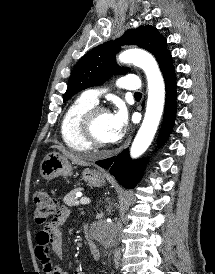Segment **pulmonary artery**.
<instances>
[{
	"label": "pulmonary artery",
	"instance_id": "obj_1",
	"mask_svg": "<svg viewBox=\"0 0 215 274\" xmlns=\"http://www.w3.org/2000/svg\"><path fill=\"white\" fill-rule=\"evenodd\" d=\"M117 85L120 88L126 89V90H132V91H138L140 88L139 80L136 76L127 75L120 77L117 81ZM101 94V91L98 89H89L84 92V95L93 101L94 103L98 102L99 96Z\"/></svg>",
	"mask_w": 215,
	"mask_h": 274
}]
</instances>
